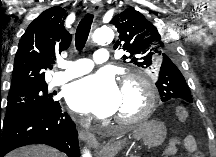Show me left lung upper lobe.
Wrapping results in <instances>:
<instances>
[{
	"mask_svg": "<svg viewBox=\"0 0 216 157\" xmlns=\"http://www.w3.org/2000/svg\"><path fill=\"white\" fill-rule=\"evenodd\" d=\"M110 23L119 33L114 48L128 52L122 57L123 60L138 67L154 69V74H159L156 86L163 102H193L182 75L185 69H181V64H178V51L173 48L175 39L163 35L164 27H158V23H152V19H146L132 7L115 15Z\"/></svg>",
	"mask_w": 216,
	"mask_h": 157,
	"instance_id": "obj_1",
	"label": "left lung upper lobe"
}]
</instances>
